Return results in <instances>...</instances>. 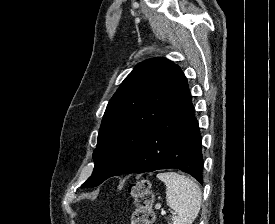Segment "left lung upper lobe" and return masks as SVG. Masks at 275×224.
<instances>
[{"label":"left lung upper lobe","mask_w":275,"mask_h":224,"mask_svg":"<svg viewBox=\"0 0 275 224\" xmlns=\"http://www.w3.org/2000/svg\"><path fill=\"white\" fill-rule=\"evenodd\" d=\"M188 91L182 70L168 59L139 63L107 105L93 153L94 171L81 187L126 173L159 122Z\"/></svg>","instance_id":"1"}]
</instances>
